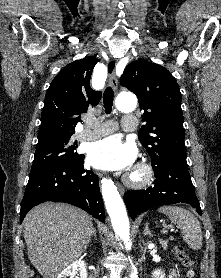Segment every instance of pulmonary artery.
<instances>
[{"label":"pulmonary artery","instance_id":"1","mask_svg":"<svg viewBox=\"0 0 221 278\" xmlns=\"http://www.w3.org/2000/svg\"><path fill=\"white\" fill-rule=\"evenodd\" d=\"M136 118L132 115H126L122 119V126L125 130H132L136 125ZM118 125L115 121L99 123L88 121L87 128L79 134L81 140H92L100 136H104L117 129Z\"/></svg>","mask_w":221,"mask_h":278}]
</instances>
